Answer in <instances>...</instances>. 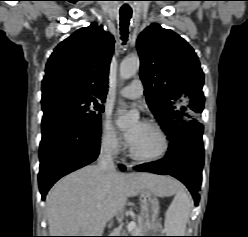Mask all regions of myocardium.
<instances>
[{
	"label": "myocardium",
	"instance_id": "myocardium-1",
	"mask_svg": "<svg viewBox=\"0 0 248 237\" xmlns=\"http://www.w3.org/2000/svg\"><path fill=\"white\" fill-rule=\"evenodd\" d=\"M144 124L149 126L150 128H152L153 130H155L156 133L159 135V137L161 139V143H162L161 149L154 155L144 156V155L137 153L130 145L129 146V153L133 159H136L138 161L154 162V161H157V160L163 158L167 154V152L169 150V140H168V137H167L165 131L158 123L151 121V120H147L144 122Z\"/></svg>",
	"mask_w": 248,
	"mask_h": 237
}]
</instances>
